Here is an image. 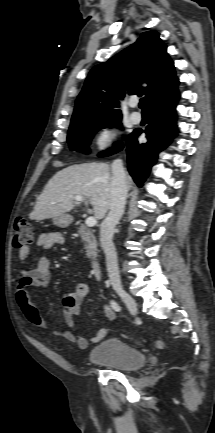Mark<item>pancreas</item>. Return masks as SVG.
<instances>
[{
	"label": "pancreas",
	"instance_id": "obj_1",
	"mask_svg": "<svg viewBox=\"0 0 215 433\" xmlns=\"http://www.w3.org/2000/svg\"><path fill=\"white\" fill-rule=\"evenodd\" d=\"M78 232L85 243L88 258L95 259L97 257V241L93 232L84 224L79 226Z\"/></svg>",
	"mask_w": 215,
	"mask_h": 433
}]
</instances>
